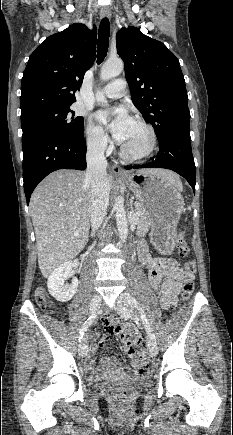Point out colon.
I'll return each instance as SVG.
<instances>
[{
    "instance_id": "1",
    "label": "colon",
    "mask_w": 233,
    "mask_h": 435,
    "mask_svg": "<svg viewBox=\"0 0 233 435\" xmlns=\"http://www.w3.org/2000/svg\"><path fill=\"white\" fill-rule=\"evenodd\" d=\"M177 247L179 251V255L182 258H185L188 256L190 249L189 246L185 240L184 232L181 230L177 237ZM184 269L189 274H193L196 271V263L194 260L188 259L183 263ZM194 290V283L191 278L185 280L182 283V298L185 301H188L190 296L192 295ZM36 303L39 307L46 310L51 307V303L48 300V298L45 295V292L43 288H38L36 291ZM141 362L138 364L141 365L145 359L147 358V353L145 351H142L140 353ZM110 395L112 396L113 400L117 404H123L128 400V393L125 390L122 389H116L109 391Z\"/></svg>"
}]
</instances>
